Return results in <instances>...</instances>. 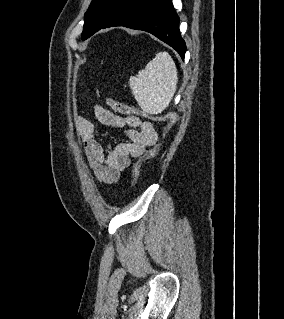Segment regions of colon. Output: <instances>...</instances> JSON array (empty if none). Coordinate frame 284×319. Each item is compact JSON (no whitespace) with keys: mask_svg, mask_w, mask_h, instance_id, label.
<instances>
[{"mask_svg":"<svg viewBox=\"0 0 284 319\" xmlns=\"http://www.w3.org/2000/svg\"><path fill=\"white\" fill-rule=\"evenodd\" d=\"M106 104L115 112L129 115V116H145L148 117L151 120H157V121H164L166 122V127H165V135L170 132V130L173 128L177 121V116L174 113H165L162 115H148L145 113H142L138 111L137 109L120 102L118 100H115L113 98H106ZM159 148H153L149 150L142 158L137 160L131 171V176H132V185H135L140 177V170H141V165L142 162L145 159L153 158L158 154Z\"/></svg>","mask_w":284,"mask_h":319,"instance_id":"colon-1","label":"colon"}]
</instances>
